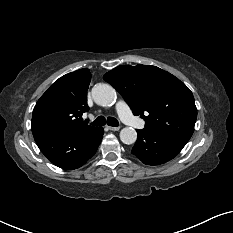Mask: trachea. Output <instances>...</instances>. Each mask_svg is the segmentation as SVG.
Listing matches in <instances>:
<instances>
[{"instance_id": "obj_1", "label": "trachea", "mask_w": 233, "mask_h": 233, "mask_svg": "<svg viewBox=\"0 0 233 233\" xmlns=\"http://www.w3.org/2000/svg\"><path fill=\"white\" fill-rule=\"evenodd\" d=\"M107 122L108 125L110 126H118V120L113 118V117H108L107 120L103 116H99L96 118L94 122H92V125L94 126H104L105 123Z\"/></svg>"}]
</instances>
